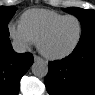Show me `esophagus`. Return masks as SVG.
<instances>
[{
	"mask_svg": "<svg viewBox=\"0 0 95 95\" xmlns=\"http://www.w3.org/2000/svg\"><path fill=\"white\" fill-rule=\"evenodd\" d=\"M34 61H42V58L37 55H34Z\"/></svg>",
	"mask_w": 95,
	"mask_h": 95,
	"instance_id": "esophagus-1",
	"label": "esophagus"
}]
</instances>
